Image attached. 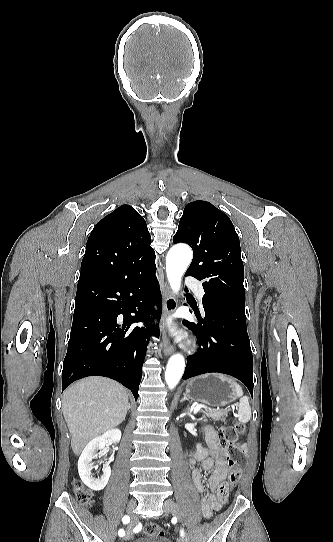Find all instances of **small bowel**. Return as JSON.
<instances>
[{"instance_id": "small-bowel-1", "label": "small bowel", "mask_w": 333, "mask_h": 542, "mask_svg": "<svg viewBox=\"0 0 333 542\" xmlns=\"http://www.w3.org/2000/svg\"><path fill=\"white\" fill-rule=\"evenodd\" d=\"M204 433L207 447L198 450L190 459L189 465L194 487L200 494L205 492L202 470L210 474L207 482L208 492L200 502L203 516L210 518L214 512L223 507L227 500V492L223 491V486L229 473L230 455L228 450L220 445L218 435L213 428L205 427ZM233 449L243 455L248 454L245 443L237 442L233 445ZM197 462L201 463L202 469L195 467ZM137 532L135 526H130L127 529V537L132 538Z\"/></svg>"}]
</instances>
